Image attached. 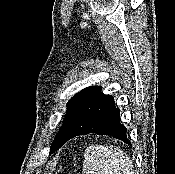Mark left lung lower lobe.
<instances>
[{"instance_id": "0a47b994", "label": "left lung lower lobe", "mask_w": 175, "mask_h": 174, "mask_svg": "<svg viewBox=\"0 0 175 174\" xmlns=\"http://www.w3.org/2000/svg\"><path fill=\"white\" fill-rule=\"evenodd\" d=\"M95 87L76 105L63 135V144L69 139L96 133L109 135L131 144L127 138V129L120 123V110L116 108L114 98Z\"/></svg>"}]
</instances>
